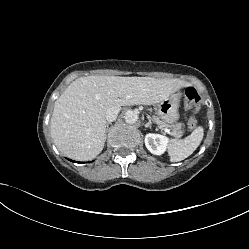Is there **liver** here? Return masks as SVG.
<instances>
[{"label": "liver", "mask_w": 249, "mask_h": 249, "mask_svg": "<svg viewBox=\"0 0 249 249\" xmlns=\"http://www.w3.org/2000/svg\"><path fill=\"white\" fill-rule=\"evenodd\" d=\"M189 83L150 77L87 76L73 81L55 101L51 136L65 156L87 161L101 153L106 111L113 106L155 105Z\"/></svg>", "instance_id": "obj_1"}]
</instances>
